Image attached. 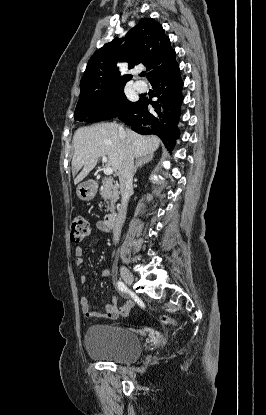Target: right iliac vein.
<instances>
[{"mask_svg":"<svg viewBox=\"0 0 266 415\" xmlns=\"http://www.w3.org/2000/svg\"><path fill=\"white\" fill-rule=\"evenodd\" d=\"M121 277L124 280V282L128 285H131L134 281L133 274L124 266L120 269Z\"/></svg>","mask_w":266,"mask_h":415,"instance_id":"right-iliac-vein-1","label":"right iliac vein"}]
</instances>
